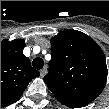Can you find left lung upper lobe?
Segmentation results:
<instances>
[{
    "instance_id": "obj_1",
    "label": "left lung upper lobe",
    "mask_w": 109,
    "mask_h": 109,
    "mask_svg": "<svg viewBox=\"0 0 109 109\" xmlns=\"http://www.w3.org/2000/svg\"><path fill=\"white\" fill-rule=\"evenodd\" d=\"M51 54L44 81L58 101L82 107L99 96L108 70L105 55L92 38L64 30L51 39Z\"/></svg>"
}]
</instances>
